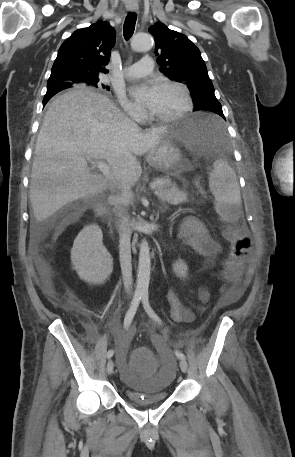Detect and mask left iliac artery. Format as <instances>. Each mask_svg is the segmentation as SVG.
<instances>
[{
	"mask_svg": "<svg viewBox=\"0 0 295 457\" xmlns=\"http://www.w3.org/2000/svg\"><path fill=\"white\" fill-rule=\"evenodd\" d=\"M142 302H143V305H144V308L147 312V314L154 320L156 321L157 323H162L161 319L158 317V315L154 312V310L151 308L150 306V303H149V298H148V294L147 293H144L142 295ZM175 355L180 358V359H185V355L180 352V351H175Z\"/></svg>",
	"mask_w": 295,
	"mask_h": 457,
	"instance_id": "44dca946",
	"label": "left iliac artery"
}]
</instances>
